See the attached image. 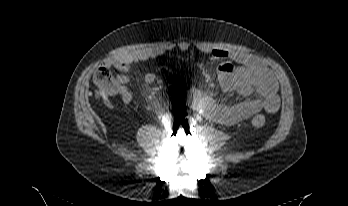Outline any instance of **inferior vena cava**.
<instances>
[{
	"mask_svg": "<svg viewBox=\"0 0 348 206\" xmlns=\"http://www.w3.org/2000/svg\"><path fill=\"white\" fill-rule=\"evenodd\" d=\"M171 118H172L171 115H169V116H168V119L171 120Z\"/></svg>",
	"mask_w": 348,
	"mask_h": 206,
	"instance_id": "obj_1",
	"label": "inferior vena cava"
}]
</instances>
